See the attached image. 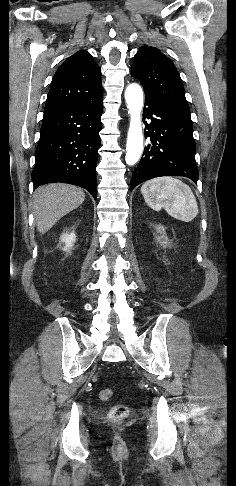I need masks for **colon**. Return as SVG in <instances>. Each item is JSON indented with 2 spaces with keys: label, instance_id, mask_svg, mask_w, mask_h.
Wrapping results in <instances>:
<instances>
[{
  "label": "colon",
  "instance_id": "obj_1",
  "mask_svg": "<svg viewBox=\"0 0 236 486\" xmlns=\"http://www.w3.org/2000/svg\"><path fill=\"white\" fill-rule=\"evenodd\" d=\"M113 395L112 390L104 389L100 391L99 398L102 401H108ZM130 413V409L127 405L119 404L114 406L109 412V418L112 422L121 423L124 421Z\"/></svg>",
  "mask_w": 236,
  "mask_h": 486
}]
</instances>
